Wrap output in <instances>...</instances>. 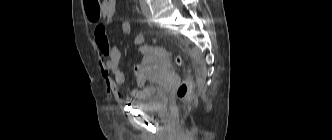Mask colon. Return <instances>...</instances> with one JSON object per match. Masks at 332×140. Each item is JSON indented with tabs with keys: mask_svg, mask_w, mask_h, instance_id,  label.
Segmentation results:
<instances>
[{
	"mask_svg": "<svg viewBox=\"0 0 332 140\" xmlns=\"http://www.w3.org/2000/svg\"><path fill=\"white\" fill-rule=\"evenodd\" d=\"M87 15L92 19H98L101 10V0H83ZM117 30L122 35H128L131 32V23L128 20H123L118 24ZM178 65L182 64L181 57H177ZM192 85L189 81H182L177 88V97L179 100L189 103L191 102Z\"/></svg>",
	"mask_w": 332,
	"mask_h": 140,
	"instance_id": "colon-1",
	"label": "colon"
}]
</instances>
